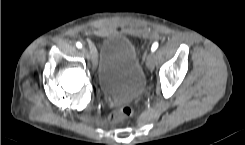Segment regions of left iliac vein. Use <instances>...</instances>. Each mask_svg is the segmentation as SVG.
<instances>
[{"label":"left iliac vein","mask_w":245,"mask_h":145,"mask_svg":"<svg viewBox=\"0 0 245 145\" xmlns=\"http://www.w3.org/2000/svg\"><path fill=\"white\" fill-rule=\"evenodd\" d=\"M154 55L152 52H150L148 55H147V58H146V65L148 67L149 70H153L154 69Z\"/></svg>","instance_id":"obj_1"}]
</instances>
